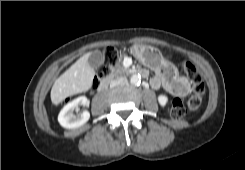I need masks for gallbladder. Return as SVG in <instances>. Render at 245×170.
<instances>
[{"label": "gallbladder", "mask_w": 245, "mask_h": 170, "mask_svg": "<svg viewBox=\"0 0 245 170\" xmlns=\"http://www.w3.org/2000/svg\"><path fill=\"white\" fill-rule=\"evenodd\" d=\"M102 61H103V55L98 50L91 52L88 58V64L93 69H96L99 65H101Z\"/></svg>", "instance_id": "bac80fb5"}]
</instances>
